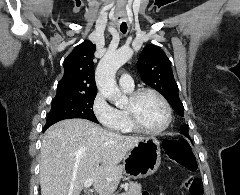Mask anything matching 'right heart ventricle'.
I'll return each mask as SVG.
<instances>
[{
    "label": "right heart ventricle",
    "mask_w": 240,
    "mask_h": 195,
    "mask_svg": "<svg viewBox=\"0 0 240 195\" xmlns=\"http://www.w3.org/2000/svg\"><path fill=\"white\" fill-rule=\"evenodd\" d=\"M122 90L125 94H128V95H131L133 93V88L129 89V88L122 87ZM116 112H117V120L114 125L108 126V128L111 131H118L119 135L135 132V129L132 127L129 121L125 107L119 106V108L116 109Z\"/></svg>",
    "instance_id": "obj_1"
}]
</instances>
